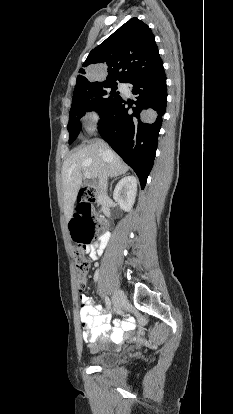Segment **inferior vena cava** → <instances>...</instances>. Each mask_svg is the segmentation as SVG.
<instances>
[{"instance_id": "inferior-vena-cava-1", "label": "inferior vena cava", "mask_w": 233, "mask_h": 414, "mask_svg": "<svg viewBox=\"0 0 233 414\" xmlns=\"http://www.w3.org/2000/svg\"><path fill=\"white\" fill-rule=\"evenodd\" d=\"M107 181H108V173L105 169L103 174L99 176V184H98V202L100 204H104L108 200L107 196Z\"/></svg>"}]
</instances>
